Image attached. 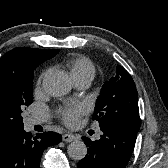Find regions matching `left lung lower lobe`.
<instances>
[{
  "mask_svg": "<svg viewBox=\"0 0 168 168\" xmlns=\"http://www.w3.org/2000/svg\"><path fill=\"white\" fill-rule=\"evenodd\" d=\"M101 138L91 141L82 137L87 145V155L78 162V168H125L133 153L138 132L120 125L100 128Z\"/></svg>",
  "mask_w": 168,
  "mask_h": 168,
  "instance_id": "obj_1",
  "label": "left lung lower lobe"
}]
</instances>
